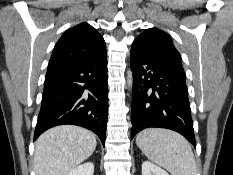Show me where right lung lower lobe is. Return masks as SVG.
<instances>
[{
    "mask_svg": "<svg viewBox=\"0 0 233 175\" xmlns=\"http://www.w3.org/2000/svg\"><path fill=\"white\" fill-rule=\"evenodd\" d=\"M107 55L46 74L34 141L47 129L73 124L92 130L105 146Z\"/></svg>",
    "mask_w": 233,
    "mask_h": 175,
    "instance_id": "obj_1",
    "label": "right lung lower lobe"
}]
</instances>
